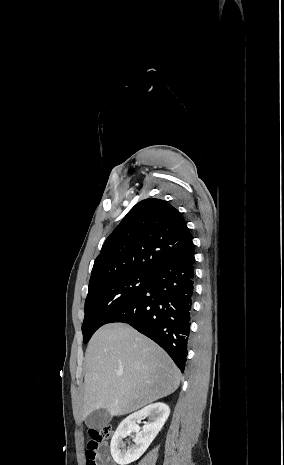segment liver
I'll list each match as a JSON object with an SVG mask.
<instances>
[{
  "label": "liver",
  "instance_id": "6515ba94",
  "mask_svg": "<svg viewBox=\"0 0 284 465\" xmlns=\"http://www.w3.org/2000/svg\"><path fill=\"white\" fill-rule=\"evenodd\" d=\"M84 383L81 421L99 409L128 415L171 395L180 385V371L153 341L125 323H110L88 343Z\"/></svg>",
  "mask_w": 284,
  "mask_h": 465
}]
</instances>
